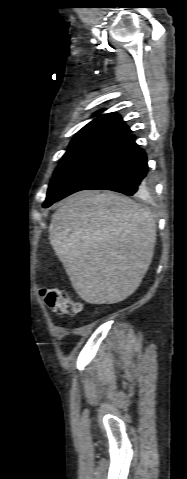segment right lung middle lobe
<instances>
[{
    "instance_id": "right-lung-middle-lobe-1",
    "label": "right lung middle lobe",
    "mask_w": 187,
    "mask_h": 479,
    "mask_svg": "<svg viewBox=\"0 0 187 479\" xmlns=\"http://www.w3.org/2000/svg\"><path fill=\"white\" fill-rule=\"evenodd\" d=\"M127 135L125 132L104 127L82 128L77 132L54 172L43 207H49L80 173Z\"/></svg>"
}]
</instances>
